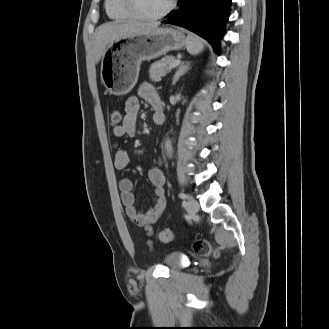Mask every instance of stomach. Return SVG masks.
Returning a JSON list of instances; mask_svg holds the SVG:
<instances>
[{"instance_id":"obj_1","label":"stomach","mask_w":329,"mask_h":329,"mask_svg":"<svg viewBox=\"0 0 329 329\" xmlns=\"http://www.w3.org/2000/svg\"><path fill=\"white\" fill-rule=\"evenodd\" d=\"M185 44V35L174 28H156L149 33L116 39L102 57V83L111 94L125 95L137 83L142 61L179 50Z\"/></svg>"}]
</instances>
